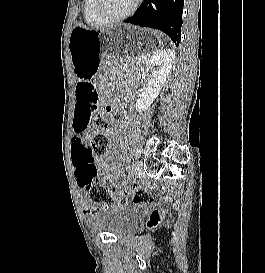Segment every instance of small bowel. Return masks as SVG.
<instances>
[{"instance_id": "small-bowel-1", "label": "small bowel", "mask_w": 265, "mask_h": 273, "mask_svg": "<svg viewBox=\"0 0 265 273\" xmlns=\"http://www.w3.org/2000/svg\"><path fill=\"white\" fill-rule=\"evenodd\" d=\"M111 113L114 115H118L115 112L112 106H108ZM118 130V125L113 124L109 130V135L114 136ZM89 136V132H74V135L71 139V147H70V159L71 165L73 169L74 176L76 178L77 184H79V175L82 171H87L89 169L95 168L97 172L100 173L101 177H112V170L109 164L106 162L108 157L113 156L112 151H108L104 155L100 157H87L86 151L88 148L87 139ZM81 187V186H80ZM108 207V205L106 206ZM84 213L86 215L96 214V209L90 205H86L84 208Z\"/></svg>"}]
</instances>
